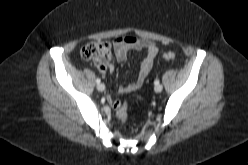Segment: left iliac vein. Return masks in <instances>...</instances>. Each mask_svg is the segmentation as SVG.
<instances>
[{"instance_id": "1", "label": "left iliac vein", "mask_w": 248, "mask_h": 165, "mask_svg": "<svg viewBox=\"0 0 248 165\" xmlns=\"http://www.w3.org/2000/svg\"><path fill=\"white\" fill-rule=\"evenodd\" d=\"M156 93H160L163 90V86L161 84H157L154 87Z\"/></svg>"}]
</instances>
